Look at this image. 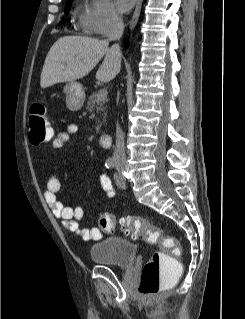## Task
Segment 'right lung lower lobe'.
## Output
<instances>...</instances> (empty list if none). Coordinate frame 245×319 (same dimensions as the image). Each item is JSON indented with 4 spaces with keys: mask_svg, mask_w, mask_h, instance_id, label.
<instances>
[{
    "mask_svg": "<svg viewBox=\"0 0 245 319\" xmlns=\"http://www.w3.org/2000/svg\"><path fill=\"white\" fill-rule=\"evenodd\" d=\"M124 45H125V48L128 47V41H127V39H124Z\"/></svg>",
    "mask_w": 245,
    "mask_h": 319,
    "instance_id": "1",
    "label": "right lung lower lobe"
}]
</instances>
